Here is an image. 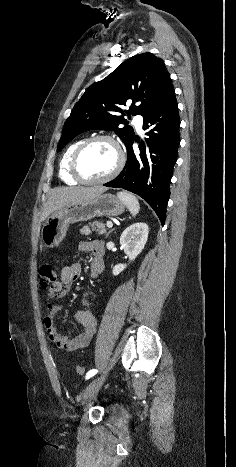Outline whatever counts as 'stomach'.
<instances>
[{
	"mask_svg": "<svg viewBox=\"0 0 236 467\" xmlns=\"http://www.w3.org/2000/svg\"><path fill=\"white\" fill-rule=\"evenodd\" d=\"M125 211V204L113 194L99 195L89 201L71 204L53 212L41 229V242L46 248L58 246L65 238L70 224L95 217L117 216Z\"/></svg>",
	"mask_w": 236,
	"mask_h": 467,
	"instance_id": "obj_1",
	"label": "stomach"
}]
</instances>
